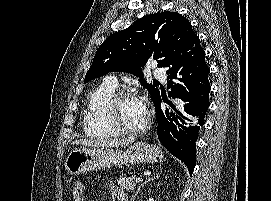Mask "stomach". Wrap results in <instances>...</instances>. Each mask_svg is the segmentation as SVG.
I'll use <instances>...</instances> for the list:
<instances>
[{"label":"stomach","instance_id":"stomach-1","mask_svg":"<svg viewBox=\"0 0 271 201\" xmlns=\"http://www.w3.org/2000/svg\"><path fill=\"white\" fill-rule=\"evenodd\" d=\"M163 158L159 147L145 142H137L126 150L87 147L69 152L65 160L68 174L79 175L84 172L124 166L129 164L154 163Z\"/></svg>","mask_w":271,"mask_h":201}]
</instances>
